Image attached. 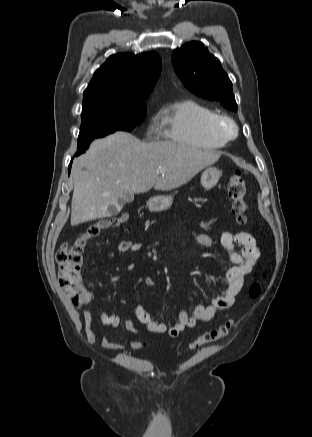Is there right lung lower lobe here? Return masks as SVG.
<instances>
[{"label": "right lung lower lobe", "instance_id": "obj_1", "mask_svg": "<svg viewBox=\"0 0 312 437\" xmlns=\"http://www.w3.org/2000/svg\"><path fill=\"white\" fill-rule=\"evenodd\" d=\"M71 163H72V161H71ZM71 163H70L69 168H68L69 173H70V170H71Z\"/></svg>", "mask_w": 312, "mask_h": 437}]
</instances>
